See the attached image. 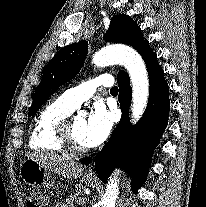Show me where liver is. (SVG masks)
<instances>
[{"mask_svg": "<svg viewBox=\"0 0 206 207\" xmlns=\"http://www.w3.org/2000/svg\"><path fill=\"white\" fill-rule=\"evenodd\" d=\"M29 157L41 166L65 178L74 179L83 174L82 165L65 156L52 153H37L31 154Z\"/></svg>", "mask_w": 206, "mask_h": 207, "instance_id": "1", "label": "liver"}]
</instances>
